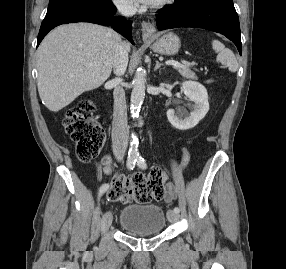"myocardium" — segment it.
Returning <instances> with one entry per match:
<instances>
[{"label":"myocardium","mask_w":286,"mask_h":269,"mask_svg":"<svg viewBox=\"0 0 286 269\" xmlns=\"http://www.w3.org/2000/svg\"><path fill=\"white\" fill-rule=\"evenodd\" d=\"M174 0H159L152 4V8L154 9H162L167 7L168 5L172 4Z\"/></svg>","instance_id":"1"}]
</instances>
